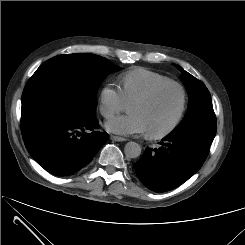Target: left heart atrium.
Masks as SVG:
<instances>
[{"instance_id": "left-heart-atrium-1", "label": "left heart atrium", "mask_w": 245, "mask_h": 245, "mask_svg": "<svg viewBox=\"0 0 245 245\" xmlns=\"http://www.w3.org/2000/svg\"><path fill=\"white\" fill-rule=\"evenodd\" d=\"M105 126L110 132L122 135H132L146 132L142 119L135 113H129L124 116L111 118L106 122Z\"/></svg>"}]
</instances>
